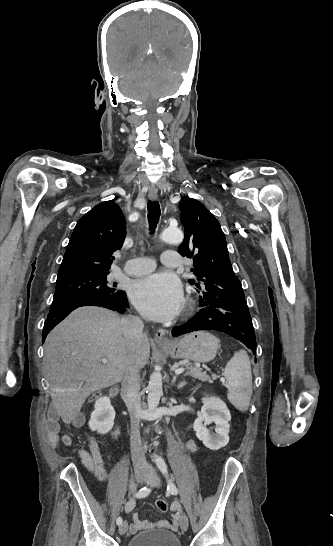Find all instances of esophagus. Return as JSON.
I'll return each instance as SVG.
<instances>
[{"mask_svg": "<svg viewBox=\"0 0 333 546\" xmlns=\"http://www.w3.org/2000/svg\"><path fill=\"white\" fill-rule=\"evenodd\" d=\"M148 197L151 201H155L157 200L158 198V191H157V188L155 186H151L150 189H149V193H148ZM156 343L158 344H162V345H167L169 344V340L168 338L166 337V330L164 329H159L156 334H155V337H154Z\"/></svg>", "mask_w": 333, "mask_h": 546, "instance_id": "obj_1", "label": "esophagus"}]
</instances>
